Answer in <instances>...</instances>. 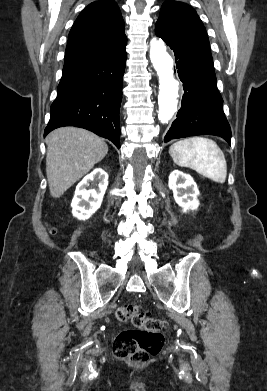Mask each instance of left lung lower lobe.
Returning a JSON list of instances; mask_svg holds the SVG:
<instances>
[{
  "instance_id": "0a47b994",
  "label": "left lung lower lobe",
  "mask_w": 267,
  "mask_h": 391,
  "mask_svg": "<svg viewBox=\"0 0 267 391\" xmlns=\"http://www.w3.org/2000/svg\"><path fill=\"white\" fill-rule=\"evenodd\" d=\"M175 53L176 69L184 95L177 119L165 136L171 139L216 135L231 141L230 125L222 109L211 53L155 32Z\"/></svg>"
}]
</instances>
